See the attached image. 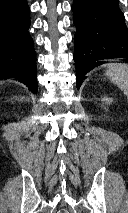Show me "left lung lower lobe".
<instances>
[{"mask_svg": "<svg viewBox=\"0 0 128 213\" xmlns=\"http://www.w3.org/2000/svg\"><path fill=\"white\" fill-rule=\"evenodd\" d=\"M74 60L77 88L99 60L128 58V28L118 0H74Z\"/></svg>", "mask_w": 128, "mask_h": 213, "instance_id": "0a47b994", "label": "left lung lower lobe"}]
</instances>
